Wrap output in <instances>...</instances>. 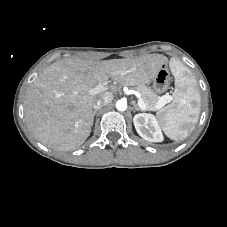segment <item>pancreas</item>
<instances>
[{
  "label": "pancreas",
  "mask_w": 227,
  "mask_h": 227,
  "mask_svg": "<svg viewBox=\"0 0 227 227\" xmlns=\"http://www.w3.org/2000/svg\"><path fill=\"white\" fill-rule=\"evenodd\" d=\"M136 90L140 93L142 100L146 105V110L148 111H157L161 108L157 107V103L163 97L158 96L151 88H148L144 84H139L136 86Z\"/></svg>",
  "instance_id": "1"
}]
</instances>
